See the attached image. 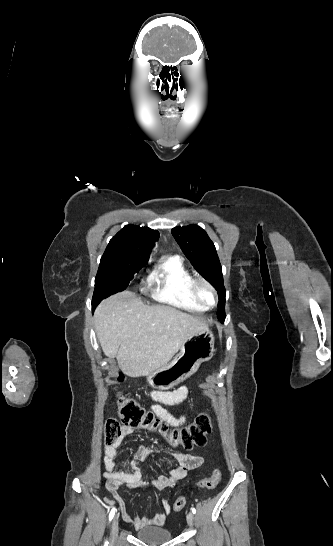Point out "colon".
Listing matches in <instances>:
<instances>
[{
	"instance_id": "5ec220e1",
	"label": "colon",
	"mask_w": 333,
	"mask_h": 546,
	"mask_svg": "<svg viewBox=\"0 0 333 546\" xmlns=\"http://www.w3.org/2000/svg\"><path fill=\"white\" fill-rule=\"evenodd\" d=\"M122 376H120V379ZM122 426L132 429L155 431L162 435L172 446H181L186 450L202 447L206 444L207 436L212 430L211 419L207 412L198 414L187 426L170 430L150 411L132 398L121 396L118 400V419L109 418L105 424V441L107 444L116 442L121 434ZM221 479L219 470H215L210 477L201 479L197 483L200 489H213ZM186 505L185 497H178L174 504L175 511H181Z\"/></svg>"
}]
</instances>
